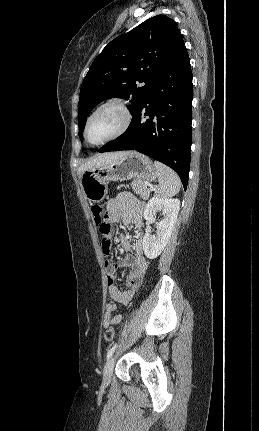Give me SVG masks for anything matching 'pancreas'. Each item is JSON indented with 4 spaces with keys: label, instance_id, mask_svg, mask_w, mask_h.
<instances>
[{
    "label": "pancreas",
    "instance_id": "cf45deb5",
    "mask_svg": "<svg viewBox=\"0 0 259 431\" xmlns=\"http://www.w3.org/2000/svg\"><path fill=\"white\" fill-rule=\"evenodd\" d=\"M131 187L133 191L136 194L140 195L142 199L147 200L149 198L151 189L148 188V185L145 181L135 179L134 181H132Z\"/></svg>",
    "mask_w": 259,
    "mask_h": 431
}]
</instances>
